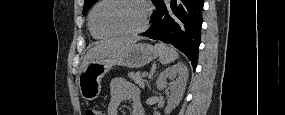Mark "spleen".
I'll return each mask as SVG.
<instances>
[{
  "instance_id": "spleen-1",
  "label": "spleen",
  "mask_w": 285,
  "mask_h": 115,
  "mask_svg": "<svg viewBox=\"0 0 285 115\" xmlns=\"http://www.w3.org/2000/svg\"><path fill=\"white\" fill-rule=\"evenodd\" d=\"M155 48L159 53V60L163 65L174 62L178 58L177 51L164 43L155 44Z\"/></svg>"
}]
</instances>
